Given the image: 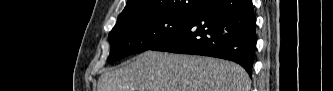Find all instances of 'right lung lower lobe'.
<instances>
[{"instance_id":"obj_1","label":"right lung lower lobe","mask_w":333,"mask_h":91,"mask_svg":"<svg viewBox=\"0 0 333 91\" xmlns=\"http://www.w3.org/2000/svg\"><path fill=\"white\" fill-rule=\"evenodd\" d=\"M255 26L251 0H213L183 28L150 50L228 59L251 76Z\"/></svg>"}]
</instances>
